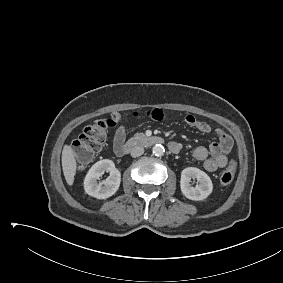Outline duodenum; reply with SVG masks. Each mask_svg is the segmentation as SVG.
<instances>
[{
    "mask_svg": "<svg viewBox=\"0 0 283 283\" xmlns=\"http://www.w3.org/2000/svg\"><path fill=\"white\" fill-rule=\"evenodd\" d=\"M164 139L159 136H149V137H138L131 139L126 144H124L120 151L119 156H124L128 154L132 149L138 147V146H153L157 144H163Z\"/></svg>",
    "mask_w": 283,
    "mask_h": 283,
    "instance_id": "410a0bca",
    "label": "duodenum"
}]
</instances>
